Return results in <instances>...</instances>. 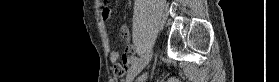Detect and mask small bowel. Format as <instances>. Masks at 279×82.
I'll return each mask as SVG.
<instances>
[{"label":"small bowel","mask_w":279,"mask_h":82,"mask_svg":"<svg viewBox=\"0 0 279 82\" xmlns=\"http://www.w3.org/2000/svg\"><path fill=\"white\" fill-rule=\"evenodd\" d=\"M98 7L101 9V14L104 19H108L111 15V9L107 5L106 1H98ZM120 34L122 38L128 42L129 33L126 26H122L120 29ZM135 47L133 45H128L124 55H123V64L120 65L118 63L120 55L118 51L111 50L109 53L110 61L114 64V74L118 77H122L126 71L129 69L130 65L132 64L135 58Z\"/></svg>","instance_id":"c3829d8e"}]
</instances>
